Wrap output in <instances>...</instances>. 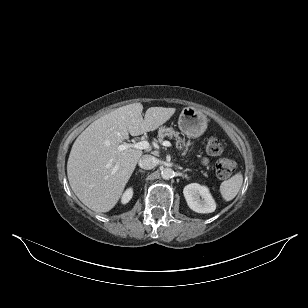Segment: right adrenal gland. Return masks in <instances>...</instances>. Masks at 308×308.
Returning <instances> with one entry per match:
<instances>
[{"instance_id":"right-adrenal-gland-1","label":"right adrenal gland","mask_w":308,"mask_h":308,"mask_svg":"<svg viewBox=\"0 0 308 308\" xmlns=\"http://www.w3.org/2000/svg\"><path fill=\"white\" fill-rule=\"evenodd\" d=\"M139 172H140V173H145V171H143V170H141V169H139L137 173H139ZM137 173H136V174H137Z\"/></svg>"}]
</instances>
